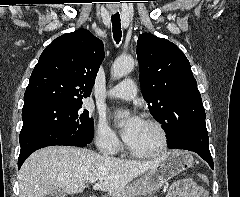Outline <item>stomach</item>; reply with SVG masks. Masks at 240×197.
<instances>
[{"instance_id": "0dacf381", "label": "stomach", "mask_w": 240, "mask_h": 197, "mask_svg": "<svg viewBox=\"0 0 240 197\" xmlns=\"http://www.w3.org/2000/svg\"><path fill=\"white\" fill-rule=\"evenodd\" d=\"M193 164V156L189 152L180 150L170 151L158 166L149 170L136 181L126 185L121 192L113 197L146 195L161 187L180 172L191 168Z\"/></svg>"}]
</instances>
